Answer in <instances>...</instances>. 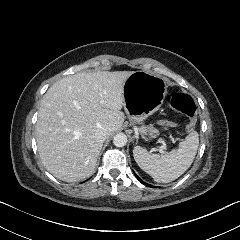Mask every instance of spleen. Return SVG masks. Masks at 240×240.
Here are the masks:
<instances>
[{
	"instance_id": "spleen-1",
	"label": "spleen",
	"mask_w": 240,
	"mask_h": 240,
	"mask_svg": "<svg viewBox=\"0 0 240 240\" xmlns=\"http://www.w3.org/2000/svg\"><path fill=\"white\" fill-rule=\"evenodd\" d=\"M199 148V133H190L180 144L177 152L163 156L136 146L133 155L138 166L158 183H170L183 175L193 164Z\"/></svg>"
}]
</instances>
